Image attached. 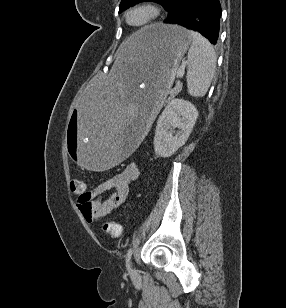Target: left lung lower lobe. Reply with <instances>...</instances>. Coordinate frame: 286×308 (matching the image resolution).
<instances>
[{"label": "left lung lower lobe", "mask_w": 286, "mask_h": 308, "mask_svg": "<svg viewBox=\"0 0 286 308\" xmlns=\"http://www.w3.org/2000/svg\"><path fill=\"white\" fill-rule=\"evenodd\" d=\"M167 11L164 23L198 31L212 44L217 43L221 16L219 0H172Z\"/></svg>", "instance_id": "1"}]
</instances>
